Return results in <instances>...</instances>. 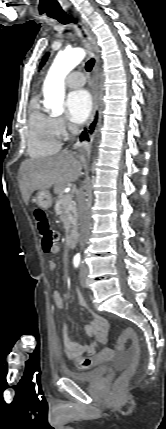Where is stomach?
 Segmentation results:
<instances>
[{
	"mask_svg": "<svg viewBox=\"0 0 166 429\" xmlns=\"http://www.w3.org/2000/svg\"><path fill=\"white\" fill-rule=\"evenodd\" d=\"M36 204L42 209H49L52 206V196L47 190H40L35 196Z\"/></svg>",
	"mask_w": 166,
	"mask_h": 429,
	"instance_id": "stomach-1",
	"label": "stomach"
}]
</instances>
